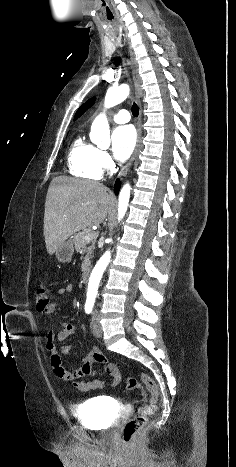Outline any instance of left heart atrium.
Listing matches in <instances>:
<instances>
[{"instance_id": "1", "label": "left heart atrium", "mask_w": 236, "mask_h": 467, "mask_svg": "<svg viewBox=\"0 0 236 467\" xmlns=\"http://www.w3.org/2000/svg\"><path fill=\"white\" fill-rule=\"evenodd\" d=\"M111 140L114 157L123 162L128 159L135 147V131L130 125L118 126L113 130Z\"/></svg>"}]
</instances>
